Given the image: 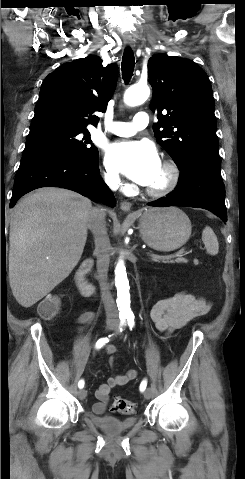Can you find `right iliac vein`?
Listing matches in <instances>:
<instances>
[{
  "label": "right iliac vein",
  "mask_w": 245,
  "mask_h": 479,
  "mask_svg": "<svg viewBox=\"0 0 245 479\" xmlns=\"http://www.w3.org/2000/svg\"><path fill=\"white\" fill-rule=\"evenodd\" d=\"M116 327H117V324L114 323V322H108V323L106 324V330H108V331L114 330ZM86 395H87V393H86V390H85V389H80V390L78 391V397H79V399H81V400L85 399Z\"/></svg>",
  "instance_id": "63e3f726"
}]
</instances>
